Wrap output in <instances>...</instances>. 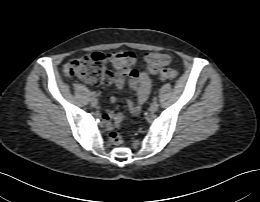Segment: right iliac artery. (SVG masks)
<instances>
[{
	"mask_svg": "<svg viewBox=\"0 0 260 202\" xmlns=\"http://www.w3.org/2000/svg\"><path fill=\"white\" fill-rule=\"evenodd\" d=\"M92 97H96V93L95 92H91L90 94Z\"/></svg>",
	"mask_w": 260,
	"mask_h": 202,
	"instance_id": "82829eb1",
	"label": "right iliac artery"
}]
</instances>
